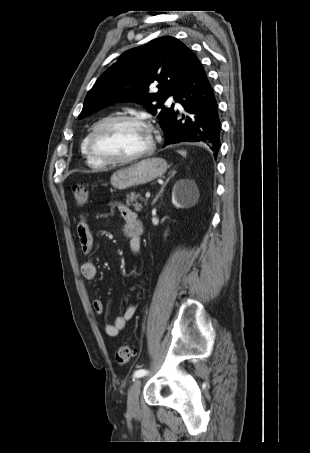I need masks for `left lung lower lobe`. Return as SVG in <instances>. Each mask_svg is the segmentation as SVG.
I'll return each instance as SVG.
<instances>
[{
	"mask_svg": "<svg viewBox=\"0 0 310 453\" xmlns=\"http://www.w3.org/2000/svg\"><path fill=\"white\" fill-rule=\"evenodd\" d=\"M175 99L187 112L177 120L178 112L173 110L169 120L162 127L165 131V145L179 142H203L217 157L220 148L221 122L218 105L212 86L198 58L192 54L184 81L178 88Z\"/></svg>",
	"mask_w": 310,
	"mask_h": 453,
	"instance_id": "left-lung-lower-lobe-1",
	"label": "left lung lower lobe"
}]
</instances>
